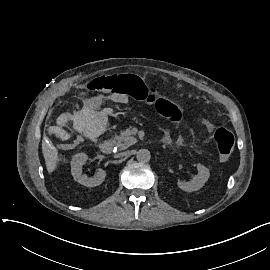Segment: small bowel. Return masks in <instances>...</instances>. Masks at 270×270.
<instances>
[{"instance_id": "c3829d8e", "label": "small bowel", "mask_w": 270, "mask_h": 270, "mask_svg": "<svg viewBox=\"0 0 270 270\" xmlns=\"http://www.w3.org/2000/svg\"><path fill=\"white\" fill-rule=\"evenodd\" d=\"M102 99H107L110 100L114 103H118V104H127L128 103V97L123 95V94H110L107 96H101L98 98V101H101ZM208 128H212L211 125L208 122L204 123ZM165 141L169 142V138L165 137L164 138ZM177 143H179V141H177ZM60 148L64 149V150H69L72 148V144L70 142H63L60 144Z\"/></svg>"}]
</instances>
